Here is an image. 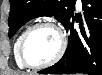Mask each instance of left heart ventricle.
<instances>
[{
  "instance_id": "b2bd125f",
  "label": "left heart ventricle",
  "mask_w": 102,
  "mask_h": 75,
  "mask_svg": "<svg viewBox=\"0 0 102 75\" xmlns=\"http://www.w3.org/2000/svg\"><path fill=\"white\" fill-rule=\"evenodd\" d=\"M60 38L55 30L49 27L37 29L28 39L25 47L30 62H47L58 52Z\"/></svg>"
}]
</instances>
